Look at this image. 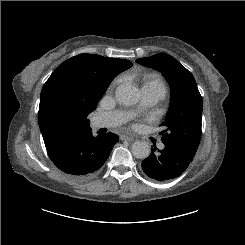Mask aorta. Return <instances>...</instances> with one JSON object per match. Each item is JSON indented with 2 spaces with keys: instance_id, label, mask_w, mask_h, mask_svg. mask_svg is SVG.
<instances>
[{
  "instance_id": "762f6f07",
  "label": "aorta",
  "mask_w": 245,
  "mask_h": 245,
  "mask_svg": "<svg viewBox=\"0 0 245 245\" xmlns=\"http://www.w3.org/2000/svg\"><path fill=\"white\" fill-rule=\"evenodd\" d=\"M116 99L123 105H134L140 98L139 90L127 84H122L116 88L115 91ZM131 152L134 157L138 159H145L151 153V147L146 141H136L131 146Z\"/></svg>"
}]
</instances>
